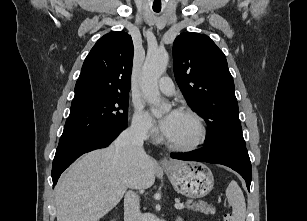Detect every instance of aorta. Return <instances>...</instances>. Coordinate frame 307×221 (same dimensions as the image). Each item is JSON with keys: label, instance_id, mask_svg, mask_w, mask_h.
I'll return each instance as SVG.
<instances>
[{"label": "aorta", "instance_id": "762f6f07", "mask_svg": "<svg viewBox=\"0 0 307 221\" xmlns=\"http://www.w3.org/2000/svg\"><path fill=\"white\" fill-rule=\"evenodd\" d=\"M168 60V53L164 49L150 50L147 53L146 60L142 68L140 88L145 99L151 104H161L158 80L166 71ZM168 110L169 106L163 105L161 106L160 111H158L155 115L160 117Z\"/></svg>", "mask_w": 307, "mask_h": 221}]
</instances>
